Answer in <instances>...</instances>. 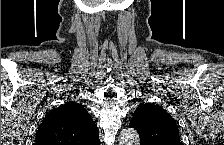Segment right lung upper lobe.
<instances>
[{
	"instance_id": "right-lung-upper-lobe-1",
	"label": "right lung upper lobe",
	"mask_w": 224,
	"mask_h": 145,
	"mask_svg": "<svg viewBox=\"0 0 224 145\" xmlns=\"http://www.w3.org/2000/svg\"><path fill=\"white\" fill-rule=\"evenodd\" d=\"M35 141L36 145H98L99 132L82 105L67 102L45 116Z\"/></svg>"
}]
</instances>
